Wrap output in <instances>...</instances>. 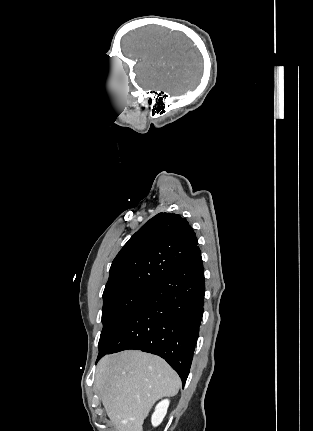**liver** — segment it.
Segmentation results:
<instances>
[{
  "label": "liver",
  "mask_w": 313,
  "mask_h": 431,
  "mask_svg": "<svg viewBox=\"0 0 313 431\" xmlns=\"http://www.w3.org/2000/svg\"><path fill=\"white\" fill-rule=\"evenodd\" d=\"M95 384L116 431H142L155 402L176 395L181 381L162 358L127 350L100 360Z\"/></svg>",
  "instance_id": "1"
}]
</instances>
